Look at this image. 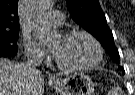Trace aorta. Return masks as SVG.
I'll return each instance as SVG.
<instances>
[{
	"instance_id": "obj_1",
	"label": "aorta",
	"mask_w": 135,
	"mask_h": 95,
	"mask_svg": "<svg viewBox=\"0 0 135 95\" xmlns=\"http://www.w3.org/2000/svg\"><path fill=\"white\" fill-rule=\"evenodd\" d=\"M52 8L51 0H33L31 5V25L34 35L44 43L57 37V32L51 30L46 21V15Z\"/></svg>"
}]
</instances>
